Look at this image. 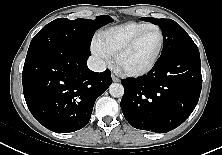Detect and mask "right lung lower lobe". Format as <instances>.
<instances>
[{
    "instance_id": "obj_1",
    "label": "right lung lower lobe",
    "mask_w": 222,
    "mask_h": 155,
    "mask_svg": "<svg viewBox=\"0 0 222 155\" xmlns=\"http://www.w3.org/2000/svg\"><path fill=\"white\" fill-rule=\"evenodd\" d=\"M91 53L59 50L24 64L23 92L34 118L47 129L69 133L90 120L96 99L111 85V73L89 70Z\"/></svg>"
}]
</instances>
